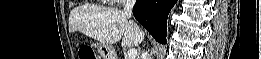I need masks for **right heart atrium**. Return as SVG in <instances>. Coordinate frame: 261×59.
Listing matches in <instances>:
<instances>
[{
	"mask_svg": "<svg viewBox=\"0 0 261 59\" xmlns=\"http://www.w3.org/2000/svg\"><path fill=\"white\" fill-rule=\"evenodd\" d=\"M114 3H119V4H121V3H123L125 0H112Z\"/></svg>",
	"mask_w": 261,
	"mask_h": 59,
	"instance_id": "right-heart-atrium-1",
	"label": "right heart atrium"
}]
</instances>
